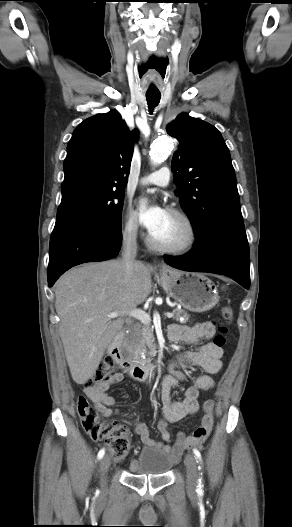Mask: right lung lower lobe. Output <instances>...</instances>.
I'll return each instance as SVG.
<instances>
[{"label":"right lung lower lobe","instance_id":"right-lung-lower-lobe-1","mask_svg":"<svg viewBox=\"0 0 292 527\" xmlns=\"http://www.w3.org/2000/svg\"><path fill=\"white\" fill-rule=\"evenodd\" d=\"M121 243V230L86 217H57L50 239L48 286L73 266L116 257Z\"/></svg>","mask_w":292,"mask_h":527}]
</instances>
